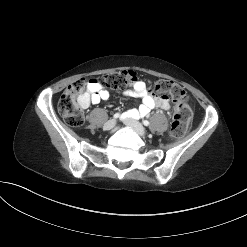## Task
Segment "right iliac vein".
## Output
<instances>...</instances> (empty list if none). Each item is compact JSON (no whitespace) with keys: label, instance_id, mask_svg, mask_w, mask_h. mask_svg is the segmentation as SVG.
I'll use <instances>...</instances> for the list:
<instances>
[{"label":"right iliac vein","instance_id":"right-iliac-vein-1","mask_svg":"<svg viewBox=\"0 0 247 247\" xmlns=\"http://www.w3.org/2000/svg\"><path fill=\"white\" fill-rule=\"evenodd\" d=\"M115 125H116V120H114V119L108 120L104 124V129L105 130H111Z\"/></svg>","mask_w":247,"mask_h":247}]
</instances>
